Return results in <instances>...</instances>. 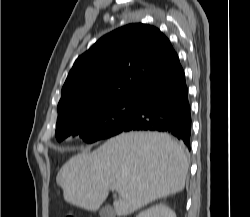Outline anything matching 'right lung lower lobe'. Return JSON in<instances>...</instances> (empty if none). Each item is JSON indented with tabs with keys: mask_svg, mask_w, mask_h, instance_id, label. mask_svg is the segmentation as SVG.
<instances>
[{
	"mask_svg": "<svg viewBox=\"0 0 250 217\" xmlns=\"http://www.w3.org/2000/svg\"><path fill=\"white\" fill-rule=\"evenodd\" d=\"M130 123L122 130L169 132L190 150L191 113L180 62L164 78L137 94Z\"/></svg>",
	"mask_w": 250,
	"mask_h": 217,
	"instance_id": "98d812e1",
	"label": "right lung lower lobe"
}]
</instances>
